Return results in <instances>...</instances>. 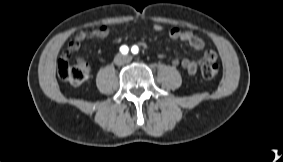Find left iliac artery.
Here are the masks:
<instances>
[{
  "mask_svg": "<svg viewBox=\"0 0 283 162\" xmlns=\"http://www.w3.org/2000/svg\"><path fill=\"white\" fill-rule=\"evenodd\" d=\"M131 51H132L133 54H137L138 51H139V49H138L137 46H133L132 49H131Z\"/></svg>",
  "mask_w": 283,
  "mask_h": 162,
  "instance_id": "left-iliac-artery-1",
  "label": "left iliac artery"
}]
</instances>
